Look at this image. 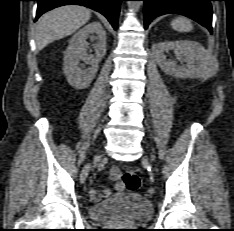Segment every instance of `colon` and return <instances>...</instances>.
I'll list each match as a JSON object with an SVG mask.
<instances>
[{"label": "colon", "mask_w": 234, "mask_h": 231, "mask_svg": "<svg viewBox=\"0 0 234 231\" xmlns=\"http://www.w3.org/2000/svg\"><path fill=\"white\" fill-rule=\"evenodd\" d=\"M110 178L112 180L121 179L126 190L130 192H135L140 188L141 180L138 174L133 170H128L123 173L118 169H113L110 173Z\"/></svg>", "instance_id": "obj_1"}]
</instances>
